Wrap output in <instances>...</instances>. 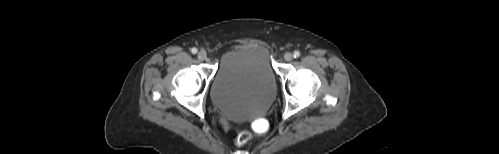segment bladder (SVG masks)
<instances>
[{
    "label": "bladder",
    "mask_w": 499,
    "mask_h": 154,
    "mask_svg": "<svg viewBox=\"0 0 499 154\" xmlns=\"http://www.w3.org/2000/svg\"><path fill=\"white\" fill-rule=\"evenodd\" d=\"M277 91L270 51L261 43L240 44L222 57L211 86L213 103L234 118L264 113Z\"/></svg>",
    "instance_id": "bladder-1"
}]
</instances>
